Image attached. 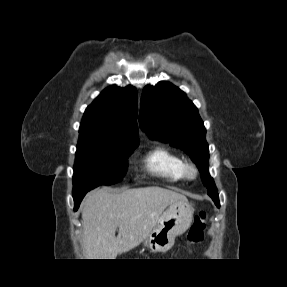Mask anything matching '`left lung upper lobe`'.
Returning <instances> with one entry per match:
<instances>
[{
  "label": "left lung upper lobe",
  "instance_id": "5c2ea615",
  "mask_svg": "<svg viewBox=\"0 0 287 287\" xmlns=\"http://www.w3.org/2000/svg\"><path fill=\"white\" fill-rule=\"evenodd\" d=\"M140 121L150 136L184 150L194 161L208 195L220 207L219 195L208 171L209 150L206 129L196 106L170 82L160 81L143 89Z\"/></svg>",
  "mask_w": 287,
  "mask_h": 287
}]
</instances>
